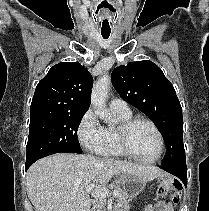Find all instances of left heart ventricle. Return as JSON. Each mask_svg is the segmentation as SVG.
<instances>
[{"mask_svg":"<svg viewBox=\"0 0 209 211\" xmlns=\"http://www.w3.org/2000/svg\"><path fill=\"white\" fill-rule=\"evenodd\" d=\"M130 148L139 158L152 159L159 151L158 137L151 126L137 124L130 134Z\"/></svg>","mask_w":209,"mask_h":211,"instance_id":"obj_1","label":"left heart ventricle"}]
</instances>
